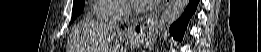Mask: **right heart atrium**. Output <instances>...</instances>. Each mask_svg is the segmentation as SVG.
<instances>
[{"label":"right heart atrium","mask_w":261,"mask_h":52,"mask_svg":"<svg viewBox=\"0 0 261 52\" xmlns=\"http://www.w3.org/2000/svg\"><path fill=\"white\" fill-rule=\"evenodd\" d=\"M128 15V12L127 11H124L123 13H122V16H127Z\"/></svg>","instance_id":"obj_1"}]
</instances>
